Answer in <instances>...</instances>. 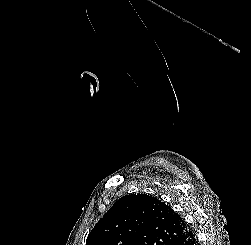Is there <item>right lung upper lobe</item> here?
I'll list each match as a JSON object with an SVG mask.
<instances>
[{
	"label": "right lung upper lobe",
	"instance_id": "right-lung-upper-lobe-1",
	"mask_svg": "<svg viewBox=\"0 0 251 245\" xmlns=\"http://www.w3.org/2000/svg\"><path fill=\"white\" fill-rule=\"evenodd\" d=\"M187 231L182 217L161 200L130 194L98 221L86 245H169Z\"/></svg>",
	"mask_w": 251,
	"mask_h": 245
}]
</instances>
